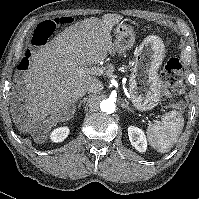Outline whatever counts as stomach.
<instances>
[{
	"label": "stomach",
	"instance_id": "stomach-1",
	"mask_svg": "<svg viewBox=\"0 0 199 199\" xmlns=\"http://www.w3.org/2000/svg\"><path fill=\"white\" fill-rule=\"evenodd\" d=\"M114 48L118 52L131 49L135 43L132 26L119 23L114 29ZM129 91L134 106L141 111L153 109L162 97V80L158 73L165 56V46L160 37L149 35L135 48Z\"/></svg>",
	"mask_w": 199,
	"mask_h": 199
}]
</instances>
